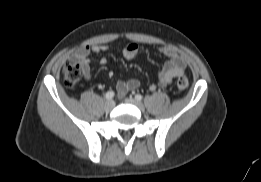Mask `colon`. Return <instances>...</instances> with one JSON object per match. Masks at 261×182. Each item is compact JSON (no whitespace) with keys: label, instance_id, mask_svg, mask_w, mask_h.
<instances>
[{"label":"colon","instance_id":"colon-1","mask_svg":"<svg viewBox=\"0 0 261 182\" xmlns=\"http://www.w3.org/2000/svg\"><path fill=\"white\" fill-rule=\"evenodd\" d=\"M81 67L78 63L69 62L63 68L64 84L68 87L75 86L81 78ZM176 85L179 89L184 90L188 87V80L184 76L178 77Z\"/></svg>","mask_w":261,"mask_h":182}]
</instances>
